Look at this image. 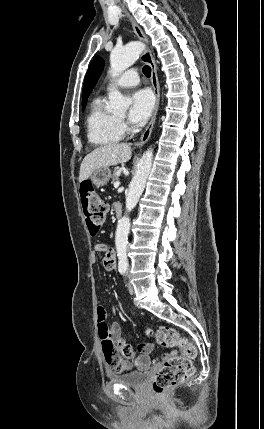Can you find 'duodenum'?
I'll return each mask as SVG.
<instances>
[{
  "instance_id": "1",
  "label": "duodenum",
  "mask_w": 264,
  "mask_h": 429,
  "mask_svg": "<svg viewBox=\"0 0 264 429\" xmlns=\"http://www.w3.org/2000/svg\"><path fill=\"white\" fill-rule=\"evenodd\" d=\"M115 213H116V216L118 218L122 216L123 210H122V206L120 204H117L115 206Z\"/></svg>"
}]
</instances>
